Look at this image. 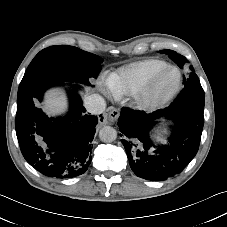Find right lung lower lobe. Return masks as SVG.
Returning <instances> with one entry per match:
<instances>
[{"mask_svg":"<svg viewBox=\"0 0 227 227\" xmlns=\"http://www.w3.org/2000/svg\"><path fill=\"white\" fill-rule=\"evenodd\" d=\"M62 84L42 82L18 94L15 128L21 152L31 166L49 177L71 178L83 174L91 163L98 118L86 114L81 99L73 95L71 111L63 118H48L37 108L46 89Z\"/></svg>","mask_w":227,"mask_h":227,"instance_id":"98d812e1","label":"right lung lower lobe"}]
</instances>
